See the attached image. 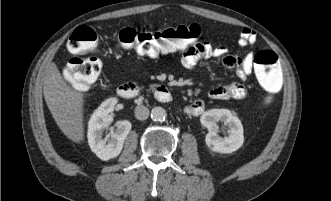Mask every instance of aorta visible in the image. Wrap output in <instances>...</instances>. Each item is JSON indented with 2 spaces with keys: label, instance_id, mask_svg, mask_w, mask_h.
<instances>
[{
  "label": "aorta",
  "instance_id": "obj_1",
  "mask_svg": "<svg viewBox=\"0 0 331 201\" xmlns=\"http://www.w3.org/2000/svg\"><path fill=\"white\" fill-rule=\"evenodd\" d=\"M151 119L155 122H162L166 119L167 113L166 110L162 107H154L151 110Z\"/></svg>",
  "mask_w": 331,
  "mask_h": 201
}]
</instances>
